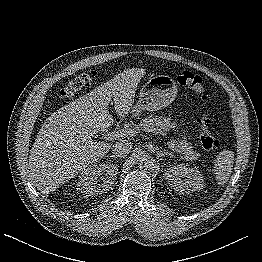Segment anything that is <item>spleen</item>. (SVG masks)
Masks as SVG:
<instances>
[{"instance_id": "spleen-1", "label": "spleen", "mask_w": 262, "mask_h": 262, "mask_svg": "<svg viewBox=\"0 0 262 262\" xmlns=\"http://www.w3.org/2000/svg\"><path fill=\"white\" fill-rule=\"evenodd\" d=\"M234 160V152L230 150H223L217 154L214 160V166L212 171L215 174V179L219 185H224L229 180L232 172Z\"/></svg>"}]
</instances>
